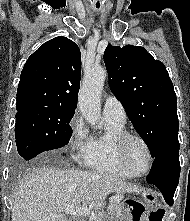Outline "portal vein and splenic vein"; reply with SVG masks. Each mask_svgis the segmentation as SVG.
<instances>
[{
	"instance_id": "portal-vein-and-splenic-vein-1",
	"label": "portal vein and splenic vein",
	"mask_w": 190,
	"mask_h": 221,
	"mask_svg": "<svg viewBox=\"0 0 190 221\" xmlns=\"http://www.w3.org/2000/svg\"><path fill=\"white\" fill-rule=\"evenodd\" d=\"M93 214V211L90 207L82 206V207H75L74 205H70L65 209L64 214L62 215H54L56 218H63L65 215H71L73 217L79 216H89Z\"/></svg>"
}]
</instances>
